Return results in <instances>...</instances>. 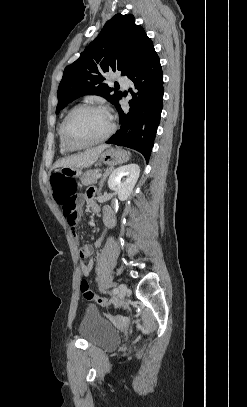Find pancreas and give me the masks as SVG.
<instances>
[{
    "instance_id": "1",
    "label": "pancreas",
    "mask_w": 247,
    "mask_h": 407,
    "mask_svg": "<svg viewBox=\"0 0 247 407\" xmlns=\"http://www.w3.org/2000/svg\"><path fill=\"white\" fill-rule=\"evenodd\" d=\"M100 172V169H95L91 171H87L86 173L83 174L81 177V183L84 186H89L97 182V174Z\"/></svg>"
}]
</instances>
